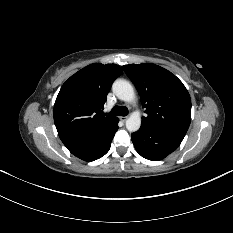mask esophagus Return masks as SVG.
<instances>
[{"instance_id": "1", "label": "esophagus", "mask_w": 233, "mask_h": 233, "mask_svg": "<svg viewBox=\"0 0 233 233\" xmlns=\"http://www.w3.org/2000/svg\"><path fill=\"white\" fill-rule=\"evenodd\" d=\"M127 118H128L127 116H121L120 117L121 121H123V122H125L127 120Z\"/></svg>"}]
</instances>
